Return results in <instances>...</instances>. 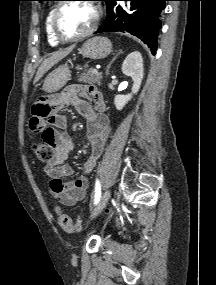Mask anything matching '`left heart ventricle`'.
Returning <instances> with one entry per match:
<instances>
[{
	"label": "left heart ventricle",
	"instance_id": "obj_1",
	"mask_svg": "<svg viewBox=\"0 0 216 285\" xmlns=\"http://www.w3.org/2000/svg\"><path fill=\"white\" fill-rule=\"evenodd\" d=\"M95 18L93 6L86 2L70 3L61 12L58 27L68 37L84 33Z\"/></svg>",
	"mask_w": 216,
	"mask_h": 285
}]
</instances>
